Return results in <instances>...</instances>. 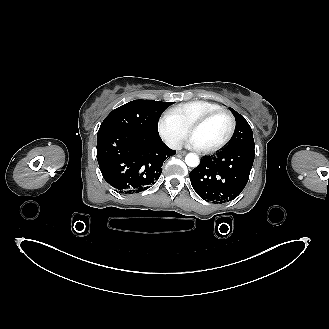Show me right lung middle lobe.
I'll return each mask as SVG.
<instances>
[{
	"label": "right lung middle lobe",
	"instance_id": "obj_1",
	"mask_svg": "<svg viewBox=\"0 0 329 329\" xmlns=\"http://www.w3.org/2000/svg\"><path fill=\"white\" fill-rule=\"evenodd\" d=\"M173 103L175 102L133 100L114 109L102 122L99 131L120 129L159 137V117Z\"/></svg>",
	"mask_w": 329,
	"mask_h": 329
}]
</instances>
